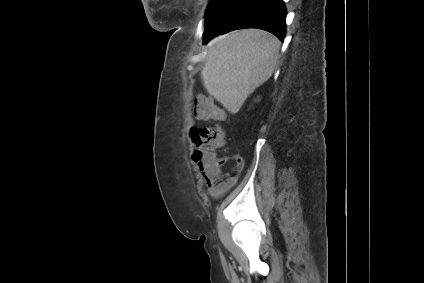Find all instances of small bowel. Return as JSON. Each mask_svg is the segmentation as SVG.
<instances>
[{
  "label": "small bowel",
  "instance_id": "1",
  "mask_svg": "<svg viewBox=\"0 0 424 283\" xmlns=\"http://www.w3.org/2000/svg\"><path fill=\"white\" fill-rule=\"evenodd\" d=\"M229 159L218 158V163L214 167L204 164L200 165L201 179L207 186V193L213 198L221 197L231 190L237 183L242 172L244 159L239 155H235L232 157L235 162L233 171L225 174L223 172V166Z\"/></svg>",
  "mask_w": 424,
  "mask_h": 283
}]
</instances>
